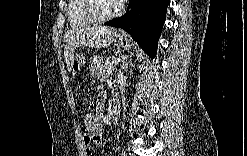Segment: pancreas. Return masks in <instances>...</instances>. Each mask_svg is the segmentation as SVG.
Masks as SVG:
<instances>
[{"mask_svg":"<svg viewBox=\"0 0 247 156\" xmlns=\"http://www.w3.org/2000/svg\"><path fill=\"white\" fill-rule=\"evenodd\" d=\"M113 59L111 57H107L104 61L100 62L95 69H91L93 73L96 74L98 80L101 82H105L109 79L112 72L115 70Z\"/></svg>","mask_w":247,"mask_h":156,"instance_id":"pancreas-1","label":"pancreas"}]
</instances>
